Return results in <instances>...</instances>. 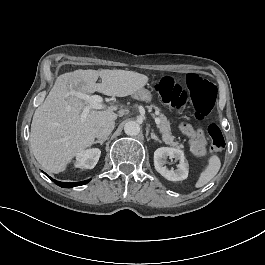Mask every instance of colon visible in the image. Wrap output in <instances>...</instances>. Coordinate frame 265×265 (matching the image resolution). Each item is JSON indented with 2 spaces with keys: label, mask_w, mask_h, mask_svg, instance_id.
Instances as JSON below:
<instances>
[{
  "label": "colon",
  "mask_w": 265,
  "mask_h": 265,
  "mask_svg": "<svg viewBox=\"0 0 265 265\" xmlns=\"http://www.w3.org/2000/svg\"><path fill=\"white\" fill-rule=\"evenodd\" d=\"M154 90L172 111L187 112L198 120L209 114L218 97L217 87L208 80H191L182 86L171 75L162 76L154 85ZM207 133L212 151H223L226 143L220 126L216 123L209 124Z\"/></svg>",
  "instance_id": "obj_1"
}]
</instances>
